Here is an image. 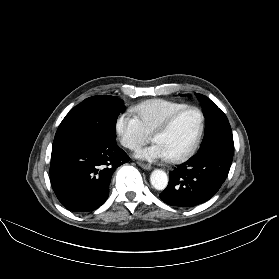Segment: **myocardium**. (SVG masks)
Instances as JSON below:
<instances>
[{"mask_svg":"<svg viewBox=\"0 0 279 279\" xmlns=\"http://www.w3.org/2000/svg\"><path fill=\"white\" fill-rule=\"evenodd\" d=\"M188 110H193V111L197 112V114L199 116V127H198V130H197V133L195 135L193 142L191 143L190 147L185 152H183L180 155L174 156V157H168V160L172 163L183 162V161L187 160L189 157H191L194 154V152L196 151V149L201 141L203 131H204V126H205V120H204V115H203L202 111L198 107L192 106V105H186L184 107H181L178 110L172 112L162 122V124L155 129V131L152 134V139H154L156 136L167 132L170 129V127L172 126V124L174 123L175 119L180 114H182L183 112L188 111Z\"/></svg>","mask_w":279,"mask_h":279,"instance_id":"obj_1","label":"myocardium"}]
</instances>
